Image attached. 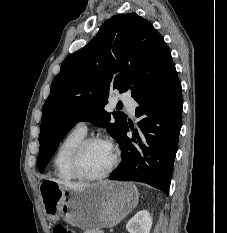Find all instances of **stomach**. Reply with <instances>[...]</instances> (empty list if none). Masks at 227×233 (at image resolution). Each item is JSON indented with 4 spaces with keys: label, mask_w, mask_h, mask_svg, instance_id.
Segmentation results:
<instances>
[{
    "label": "stomach",
    "mask_w": 227,
    "mask_h": 233,
    "mask_svg": "<svg viewBox=\"0 0 227 233\" xmlns=\"http://www.w3.org/2000/svg\"><path fill=\"white\" fill-rule=\"evenodd\" d=\"M40 196L49 220L63 219L88 231L117 225L136 207L139 199L134 184L112 181L70 189L45 180L40 185Z\"/></svg>",
    "instance_id": "obj_1"
}]
</instances>
